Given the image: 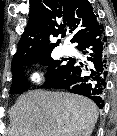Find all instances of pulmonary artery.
I'll return each instance as SVG.
<instances>
[{
	"mask_svg": "<svg viewBox=\"0 0 117 136\" xmlns=\"http://www.w3.org/2000/svg\"><path fill=\"white\" fill-rule=\"evenodd\" d=\"M62 52L65 54H70L72 52L71 48H63Z\"/></svg>",
	"mask_w": 117,
	"mask_h": 136,
	"instance_id": "1",
	"label": "pulmonary artery"
}]
</instances>
